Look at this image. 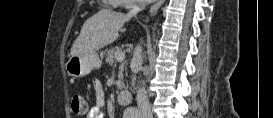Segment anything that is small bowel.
I'll use <instances>...</instances> for the list:
<instances>
[{"mask_svg": "<svg viewBox=\"0 0 273 118\" xmlns=\"http://www.w3.org/2000/svg\"><path fill=\"white\" fill-rule=\"evenodd\" d=\"M94 91L96 97V104L91 107L88 112L87 118H103V105H104V90L99 81H94Z\"/></svg>", "mask_w": 273, "mask_h": 118, "instance_id": "c3829d8e", "label": "small bowel"}]
</instances>
